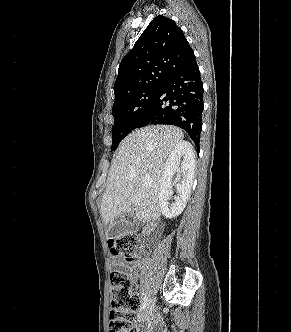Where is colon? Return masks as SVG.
<instances>
[{
  "instance_id": "colon-1",
  "label": "colon",
  "mask_w": 291,
  "mask_h": 332,
  "mask_svg": "<svg viewBox=\"0 0 291 332\" xmlns=\"http://www.w3.org/2000/svg\"><path fill=\"white\" fill-rule=\"evenodd\" d=\"M138 236L126 233L108 241L112 254L120 256L127 263L139 260ZM112 301L109 317V332H140L135 327L140 300L132 290V278L124 271H114L110 276Z\"/></svg>"
}]
</instances>
